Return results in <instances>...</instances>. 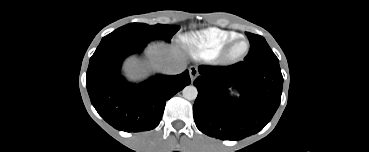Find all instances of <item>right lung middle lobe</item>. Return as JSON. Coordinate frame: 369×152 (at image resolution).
Returning <instances> with one entry per match:
<instances>
[{
	"label": "right lung middle lobe",
	"instance_id": "1",
	"mask_svg": "<svg viewBox=\"0 0 369 152\" xmlns=\"http://www.w3.org/2000/svg\"><path fill=\"white\" fill-rule=\"evenodd\" d=\"M179 30V26L175 25H148L143 23H131L123 27L118 28L103 39L117 37V36H130L137 39H143L146 41L152 40H165L170 41L172 36ZM102 39V40H103Z\"/></svg>",
	"mask_w": 369,
	"mask_h": 152
}]
</instances>
